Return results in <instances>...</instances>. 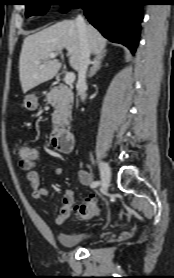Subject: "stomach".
<instances>
[{
  "label": "stomach",
  "mask_w": 174,
  "mask_h": 278,
  "mask_svg": "<svg viewBox=\"0 0 174 278\" xmlns=\"http://www.w3.org/2000/svg\"><path fill=\"white\" fill-rule=\"evenodd\" d=\"M24 107L35 110L38 107V98L33 94L27 95L24 99Z\"/></svg>",
  "instance_id": "stomach-1"
}]
</instances>
